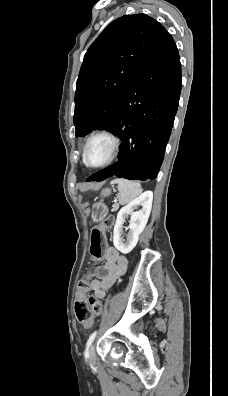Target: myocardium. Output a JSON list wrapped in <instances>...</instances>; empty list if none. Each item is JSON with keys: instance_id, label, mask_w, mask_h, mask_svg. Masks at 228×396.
Here are the masks:
<instances>
[{"instance_id": "obj_1", "label": "myocardium", "mask_w": 228, "mask_h": 396, "mask_svg": "<svg viewBox=\"0 0 228 396\" xmlns=\"http://www.w3.org/2000/svg\"><path fill=\"white\" fill-rule=\"evenodd\" d=\"M96 137H105V138L109 139V141L111 142V151H110L108 158L104 162H102L100 164H91V163H89V161L87 159V150H88V146H89L90 142ZM119 147H120V140L112 131H110L108 129L97 130V131L93 132L92 134H90L88 136V138L86 139V142H85V145L83 148V155H82L83 161H84L85 165L89 168H92V169L104 168V167L110 165L115 160V158L118 155Z\"/></svg>"}]
</instances>
